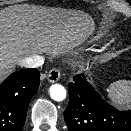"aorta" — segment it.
Here are the masks:
<instances>
[{"instance_id": "obj_1", "label": "aorta", "mask_w": 131, "mask_h": 131, "mask_svg": "<svg viewBox=\"0 0 131 131\" xmlns=\"http://www.w3.org/2000/svg\"><path fill=\"white\" fill-rule=\"evenodd\" d=\"M49 93L55 101H63L66 98V89L60 84H53L49 88Z\"/></svg>"}]
</instances>
